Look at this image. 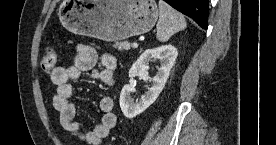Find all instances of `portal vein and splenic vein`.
I'll return each instance as SVG.
<instances>
[{"instance_id": "18ae733b", "label": "portal vein and splenic vein", "mask_w": 276, "mask_h": 145, "mask_svg": "<svg viewBox=\"0 0 276 145\" xmlns=\"http://www.w3.org/2000/svg\"><path fill=\"white\" fill-rule=\"evenodd\" d=\"M132 48H137L138 47V44L136 42L132 43Z\"/></svg>"}]
</instances>
